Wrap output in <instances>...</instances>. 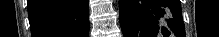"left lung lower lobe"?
<instances>
[{
  "label": "left lung lower lobe",
  "instance_id": "obj_1",
  "mask_svg": "<svg viewBox=\"0 0 219 37\" xmlns=\"http://www.w3.org/2000/svg\"><path fill=\"white\" fill-rule=\"evenodd\" d=\"M124 37H185L180 0H120Z\"/></svg>",
  "mask_w": 219,
  "mask_h": 37
}]
</instances>
